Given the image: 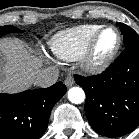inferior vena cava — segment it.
I'll return each mask as SVG.
<instances>
[{"label": "inferior vena cava", "instance_id": "1", "mask_svg": "<svg viewBox=\"0 0 139 139\" xmlns=\"http://www.w3.org/2000/svg\"><path fill=\"white\" fill-rule=\"evenodd\" d=\"M58 77L59 71L57 68H46L38 73L34 84L42 88L50 87L57 82Z\"/></svg>", "mask_w": 139, "mask_h": 139}]
</instances>
